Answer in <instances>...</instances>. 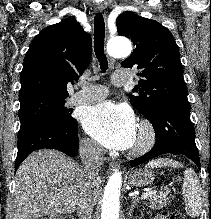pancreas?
Listing matches in <instances>:
<instances>
[{
    "label": "pancreas",
    "instance_id": "pancreas-1",
    "mask_svg": "<svg viewBox=\"0 0 211 219\" xmlns=\"http://www.w3.org/2000/svg\"><path fill=\"white\" fill-rule=\"evenodd\" d=\"M169 191L160 192L158 194L153 193L149 196L150 208L160 210L170 203V198H168Z\"/></svg>",
    "mask_w": 211,
    "mask_h": 219
}]
</instances>
